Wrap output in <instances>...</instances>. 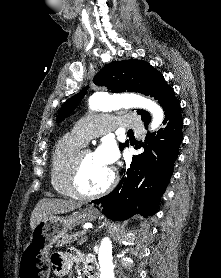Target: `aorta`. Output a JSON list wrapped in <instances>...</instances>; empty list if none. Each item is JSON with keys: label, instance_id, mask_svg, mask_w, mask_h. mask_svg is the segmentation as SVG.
Instances as JSON below:
<instances>
[{"label": "aorta", "instance_id": "obj_1", "mask_svg": "<svg viewBox=\"0 0 221 278\" xmlns=\"http://www.w3.org/2000/svg\"><path fill=\"white\" fill-rule=\"evenodd\" d=\"M89 107L93 111H107L118 107L143 108L152 114L151 130L158 128L164 119L163 110L158 104L138 95L116 98L106 93L96 92L89 99ZM98 260L101 272L100 278H114L112 242L108 237L101 241Z\"/></svg>", "mask_w": 221, "mask_h": 278}]
</instances>
